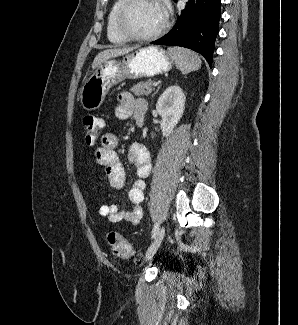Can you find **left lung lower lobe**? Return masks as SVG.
Returning a JSON list of instances; mask_svg holds the SVG:
<instances>
[{"label": "left lung lower lobe", "instance_id": "left-lung-lower-lobe-1", "mask_svg": "<svg viewBox=\"0 0 298 325\" xmlns=\"http://www.w3.org/2000/svg\"><path fill=\"white\" fill-rule=\"evenodd\" d=\"M220 8L221 0H189L174 28L151 44L192 49L203 55L211 66L214 41L219 30Z\"/></svg>", "mask_w": 298, "mask_h": 325}]
</instances>
